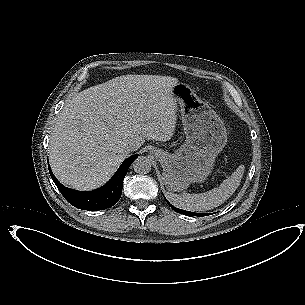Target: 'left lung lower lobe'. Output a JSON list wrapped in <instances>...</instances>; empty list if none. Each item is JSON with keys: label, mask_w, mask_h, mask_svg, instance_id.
Returning a JSON list of instances; mask_svg holds the SVG:
<instances>
[{"label": "left lung lower lobe", "mask_w": 305, "mask_h": 305, "mask_svg": "<svg viewBox=\"0 0 305 305\" xmlns=\"http://www.w3.org/2000/svg\"><path fill=\"white\" fill-rule=\"evenodd\" d=\"M165 200H166V198H165ZM166 202L170 205V207H171L174 211H176V212H178V213H180V214L191 215V216H199V217L209 215V214H200V213H193V212H189V211H184V210L175 208V207L172 206L167 200H166Z\"/></svg>", "instance_id": "left-lung-lower-lobe-1"}]
</instances>
